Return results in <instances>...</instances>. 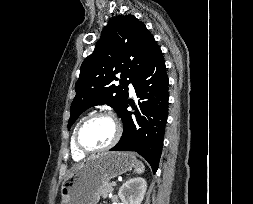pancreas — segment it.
Instances as JSON below:
<instances>
[{
	"instance_id": "obj_1",
	"label": "pancreas",
	"mask_w": 253,
	"mask_h": 204,
	"mask_svg": "<svg viewBox=\"0 0 253 204\" xmlns=\"http://www.w3.org/2000/svg\"><path fill=\"white\" fill-rule=\"evenodd\" d=\"M113 191L112 184L110 182L105 183L100 189L99 193L103 197H107L109 193Z\"/></svg>"
}]
</instances>
